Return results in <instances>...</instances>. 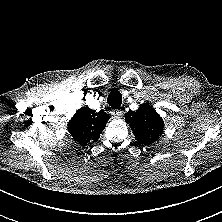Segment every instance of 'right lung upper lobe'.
Masks as SVG:
<instances>
[{
	"instance_id": "right-lung-upper-lobe-1",
	"label": "right lung upper lobe",
	"mask_w": 222,
	"mask_h": 222,
	"mask_svg": "<svg viewBox=\"0 0 222 222\" xmlns=\"http://www.w3.org/2000/svg\"><path fill=\"white\" fill-rule=\"evenodd\" d=\"M109 118L103 110L96 112L86 106L79 109L68 122V131L81 145L91 140L97 141Z\"/></svg>"
}]
</instances>
